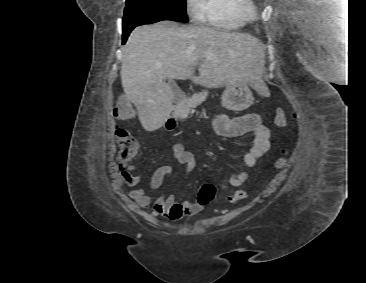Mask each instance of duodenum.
Instances as JSON below:
<instances>
[{"instance_id":"410a0bca","label":"duodenum","mask_w":366,"mask_h":283,"mask_svg":"<svg viewBox=\"0 0 366 283\" xmlns=\"http://www.w3.org/2000/svg\"><path fill=\"white\" fill-rule=\"evenodd\" d=\"M174 126V120L173 119H169L167 122V128L168 129H172Z\"/></svg>"}]
</instances>
